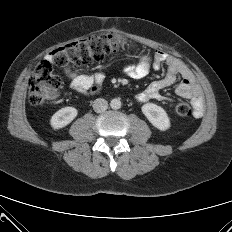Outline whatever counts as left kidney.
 Here are the masks:
<instances>
[{"label":"left kidney","mask_w":232,"mask_h":232,"mask_svg":"<svg viewBox=\"0 0 232 232\" xmlns=\"http://www.w3.org/2000/svg\"><path fill=\"white\" fill-rule=\"evenodd\" d=\"M142 112L157 129L165 131L170 128V119L162 107L153 103H146L142 106Z\"/></svg>","instance_id":"obj_1"}]
</instances>
